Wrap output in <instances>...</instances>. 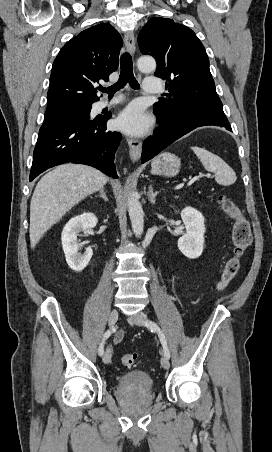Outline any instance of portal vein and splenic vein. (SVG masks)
<instances>
[{
    "mask_svg": "<svg viewBox=\"0 0 272 452\" xmlns=\"http://www.w3.org/2000/svg\"><path fill=\"white\" fill-rule=\"evenodd\" d=\"M202 176H204V175H198V176L193 177V178L188 182V186H189V185H192L196 180H198V179H199L200 177H202ZM206 176H207V175H206ZM182 186H183V184H179V185L176 186V189H180Z\"/></svg>",
    "mask_w": 272,
    "mask_h": 452,
    "instance_id": "portal-vein-and-splenic-vein-1",
    "label": "portal vein and splenic vein"
}]
</instances>
